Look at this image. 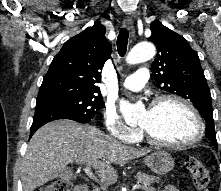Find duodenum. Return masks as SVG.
I'll use <instances>...</instances> for the list:
<instances>
[{
    "label": "duodenum",
    "instance_id": "1",
    "mask_svg": "<svg viewBox=\"0 0 221 191\" xmlns=\"http://www.w3.org/2000/svg\"><path fill=\"white\" fill-rule=\"evenodd\" d=\"M74 191H89V189L86 184L81 183L75 186Z\"/></svg>",
    "mask_w": 221,
    "mask_h": 191
}]
</instances>
